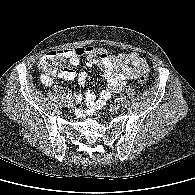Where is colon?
I'll use <instances>...</instances> for the list:
<instances>
[{
	"instance_id": "obj_1",
	"label": "colon",
	"mask_w": 195,
	"mask_h": 195,
	"mask_svg": "<svg viewBox=\"0 0 195 195\" xmlns=\"http://www.w3.org/2000/svg\"><path fill=\"white\" fill-rule=\"evenodd\" d=\"M39 67L42 72V80L45 83H50L55 77L60 76L67 69L65 57L57 51H52L44 55L40 59ZM138 82L145 84L147 77L145 75L139 76Z\"/></svg>"
}]
</instances>
